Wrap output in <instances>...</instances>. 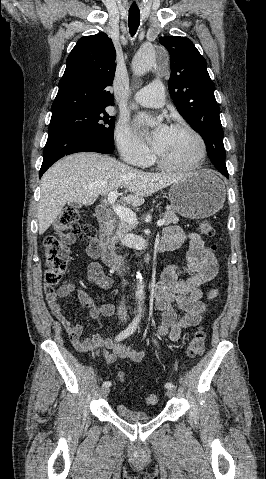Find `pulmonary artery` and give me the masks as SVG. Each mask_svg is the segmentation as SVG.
<instances>
[{
  "mask_svg": "<svg viewBox=\"0 0 266 479\" xmlns=\"http://www.w3.org/2000/svg\"><path fill=\"white\" fill-rule=\"evenodd\" d=\"M135 100L142 106L158 108L165 103V90L160 81L151 82L142 88L136 95Z\"/></svg>",
  "mask_w": 266,
  "mask_h": 479,
  "instance_id": "obj_1",
  "label": "pulmonary artery"
}]
</instances>
